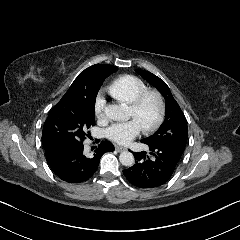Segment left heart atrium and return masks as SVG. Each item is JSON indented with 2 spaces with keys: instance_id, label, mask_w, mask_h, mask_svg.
Returning <instances> with one entry per match:
<instances>
[{
  "instance_id": "1",
  "label": "left heart atrium",
  "mask_w": 240,
  "mask_h": 240,
  "mask_svg": "<svg viewBox=\"0 0 240 240\" xmlns=\"http://www.w3.org/2000/svg\"><path fill=\"white\" fill-rule=\"evenodd\" d=\"M140 130L141 126L139 123L132 119L128 122L111 126L106 135L110 140L120 145H126L139 134Z\"/></svg>"
}]
</instances>
